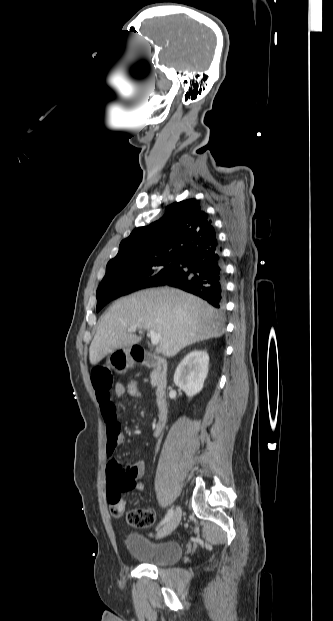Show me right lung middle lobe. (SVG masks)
I'll list each match as a JSON object with an SVG mask.
<instances>
[{"label": "right lung middle lobe", "instance_id": "obj_1", "mask_svg": "<svg viewBox=\"0 0 333 621\" xmlns=\"http://www.w3.org/2000/svg\"><path fill=\"white\" fill-rule=\"evenodd\" d=\"M179 257H160L107 265L106 275L97 289V308L100 311L108 302L139 289L159 286L178 271Z\"/></svg>", "mask_w": 333, "mask_h": 621}]
</instances>
